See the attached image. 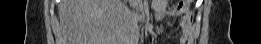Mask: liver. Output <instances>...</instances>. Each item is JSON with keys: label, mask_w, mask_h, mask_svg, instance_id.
Returning a JSON list of instances; mask_svg holds the SVG:
<instances>
[{"label": "liver", "mask_w": 261, "mask_h": 44, "mask_svg": "<svg viewBox=\"0 0 261 44\" xmlns=\"http://www.w3.org/2000/svg\"><path fill=\"white\" fill-rule=\"evenodd\" d=\"M130 8H122L121 0H61L60 23L70 44H134L137 25Z\"/></svg>", "instance_id": "6515ba94"}]
</instances>
